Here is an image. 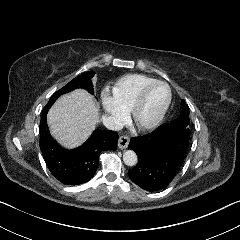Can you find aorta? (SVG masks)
Here are the masks:
<instances>
[{"label": "aorta", "instance_id": "aorta-1", "mask_svg": "<svg viewBox=\"0 0 240 240\" xmlns=\"http://www.w3.org/2000/svg\"><path fill=\"white\" fill-rule=\"evenodd\" d=\"M123 161L128 166L135 165L137 163L136 153L131 149L125 150L123 153Z\"/></svg>", "mask_w": 240, "mask_h": 240}]
</instances>
